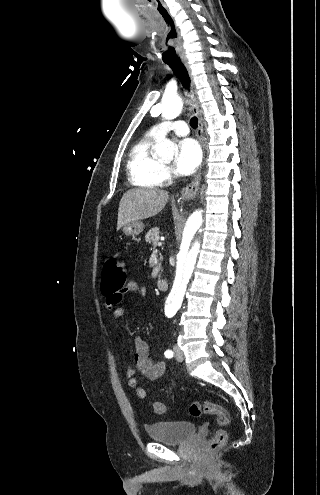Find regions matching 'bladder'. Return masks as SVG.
I'll return each instance as SVG.
<instances>
[{"label": "bladder", "instance_id": "bladder-1", "mask_svg": "<svg viewBox=\"0 0 320 495\" xmlns=\"http://www.w3.org/2000/svg\"><path fill=\"white\" fill-rule=\"evenodd\" d=\"M146 432L154 441L176 445L196 432V424L190 421H159L148 424Z\"/></svg>", "mask_w": 320, "mask_h": 495}]
</instances>
